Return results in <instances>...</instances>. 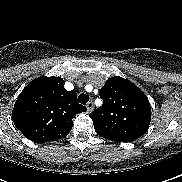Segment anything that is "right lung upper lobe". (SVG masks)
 I'll use <instances>...</instances> for the list:
<instances>
[{"instance_id":"obj_1","label":"right lung upper lobe","mask_w":182,"mask_h":182,"mask_svg":"<svg viewBox=\"0 0 182 182\" xmlns=\"http://www.w3.org/2000/svg\"><path fill=\"white\" fill-rule=\"evenodd\" d=\"M60 77H39L18 96L12 120L29 140L46 142L64 138L73 126L76 114L86 111L77 103L75 91L64 88Z\"/></svg>"}]
</instances>
